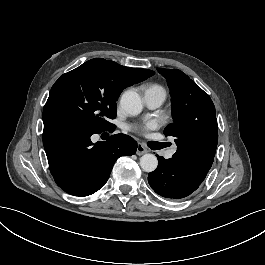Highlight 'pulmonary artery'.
I'll return each mask as SVG.
<instances>
[{
  "mask_svg": "<svg viewBox=\"0 0 265 265\" xmlns=\"http://www.w3.org/2000/svg\"><path fill=\"white\" fill-rule=\"evenodd\" d=\"M146 105L152 108L158 107L162 103V93L157 88H150L144 94Z\"/></svg>",
  "mask_w": 265,
  "mask_h": 265,
  "instance_id": "pulmonary-artery-1",
  "label": "pulmonary artery"
}]
</instances>
